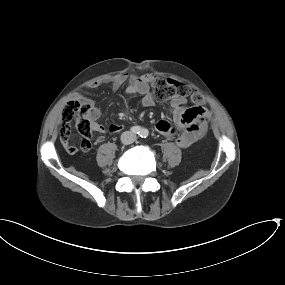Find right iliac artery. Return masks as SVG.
I'll list each match as a JSON object with an SVG mask.
<instances>
[{
  "label": "right iliac artery",
  "mask_w": 285,
  "mask_h": 285,
  "mask_svg": "<svg viewBox=\"0 0 285 285\" xmlns=\"http://www.w3.org/2000/svg\"><path fill=\"white\" fill-rule=\"evenodd\" d=\"M141 128L139 127V126H133L132 128H131V131H132V133H134V134H140L141 133Z\"/></svg>",
  "instance_id": "right-iliac-artery-1"
}]
</instances>
